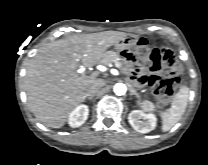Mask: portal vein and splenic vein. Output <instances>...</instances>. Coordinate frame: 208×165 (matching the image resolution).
<instances>
[{
    "label": "portal vein and splenic vein",
    "instance_id": "18ae733b",
    "mask_svg": "<svg viewBox=\"0 0 208 165\" xmlns=\"http://www.w3.org/2000/svg\"><path fill=\"white\" fill-rule=\"evenodd\" d=\"M115 66H116L117 68H122L121 64H119V63H115ZM83 71H84L83 66H80L79 73H81V72H83Z\"/></svg>",
    "mask_w": 208,
    "mask_h": 165
}]
</instances>
